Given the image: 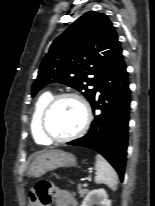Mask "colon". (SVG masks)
<instances>
[{
  "label": "colon",
  "instance_id": "obj_1",
  "mask_svg": "<svg viewBox=\"0 0 155 206\" xmlns=\"http://www.w3.org/2000/svg\"><path fill=\"white\" fill-rule=\"evenodd\" d=\"M52 184L49 181H39L30 191V198L40 206H48L51 201Z\"/></svg>",
  "mask_w": 155,
  "mask_h": 206
}]
</instances>
